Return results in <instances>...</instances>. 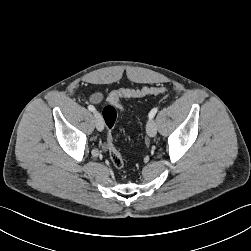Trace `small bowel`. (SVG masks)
Wrapping results in <instances>:
<instances>
[{
  "label": "small bowel",
  "mask_w": 251,
  "mask_h": 251,
  "mask_svg": "<svg viewBox=\"0 0 251 251\" xmlns=\"http://www.w3.org/2000/svg\"><path fill=\"white\" fill-rule=\"evenodd\" d=\"M103 99V95L101 93H95L90 97V101L94 104H98Z\"/></svg>",
  "instance_id": "1"
}]
</instances>
